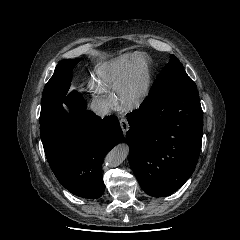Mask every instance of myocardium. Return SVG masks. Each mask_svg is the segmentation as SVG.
I'll return each mask as SVG.
<instances>
[{"instance_id":"obj_1","label":"myocardium","mask_w":240,"mask_h":240,"mask_svg":"<svg viewBox=\"0 0 240 240\" xmlns=\"http://www.w3.org/2000/svg\"><path fill=\"white\" fill-rule=\"evenodd\" d=\"M150 86L151 76L146 65L139 69L128 65L116 87L119 105L127 109L137 107L147 97Z\"/></svg>"}]
</instances>
